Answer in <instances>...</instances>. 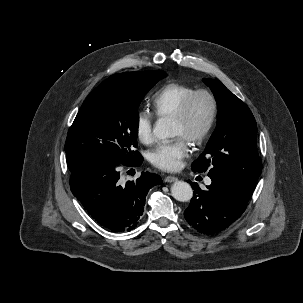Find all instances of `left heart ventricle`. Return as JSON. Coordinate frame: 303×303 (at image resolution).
Wrapping results in <instances>:
<instances>
[{
	"mask_svg": "<svg viewBox=\"0 0 303 303\" xmlns=\"http://www.w3.org/2000/svg\"><path fill=\"white\" fill-rule=\"evenodd\" d=\"M210 112V103L205 96H199L194 101L189 116L185 122L173 120L172 130L176 137L190 141L202 130Z\"/></svg>",
	"mask_w": 303,
	"mask_h": 303,
	"instance_id": "obj_1",
	"label": "left heart ventricle"
}]
</instances>
